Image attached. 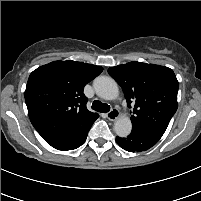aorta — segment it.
<instances>
[{"instance_id": "1", "label": "aorta", "mask_w": 201, "mask_h": 201, "mask_svg": "<svg viewBox=\"0 0 201 201\" xmlns=\"http://www.w3.org/2000/svg\"><path fill=\"white\" fill-rule=\"evenodd\" d=\"M96 94L105 100H114L119 95L116 81L108 76H98L93 82ZM132 130V123L128 117H120L114 123V131L119 137H127Z\"/></svg>"}]
</instances>
